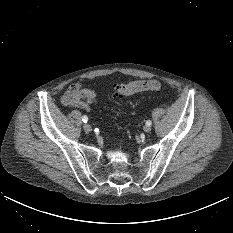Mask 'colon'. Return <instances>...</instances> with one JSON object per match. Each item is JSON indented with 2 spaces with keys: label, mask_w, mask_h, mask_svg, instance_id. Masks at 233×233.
<instances>
[{
  "label": "colon",
  "mask_w": 233,
  "mask_h": 233,
  "mask_svg": "<svg viewBox=\"0 0 233 233\" xmlns=\"http://www.w3.org/2000/svg\"><path fill=\"white\" fill-rule=\"evenodd\" d=\"M160 89L161 84L156 80L130 81L126 83H117L113 86L114 96L118 99L139 92L159 91Z\"/></svg>",
  "instance_id": "5ec220e1"
}]
</instances>
